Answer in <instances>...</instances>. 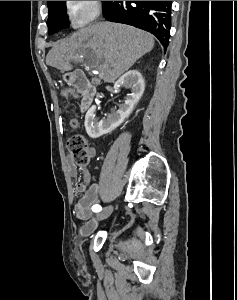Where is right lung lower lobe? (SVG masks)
I'll return each instance as SVG.
<instances>
[{
	"instance_id": "obj_1",
	"label": "right lung lower lobe",
	"mask_w": 237,
	"mask_h": 300,
	"mask_svg": "<svg viewBox=\"0 0 237 300\" xmlns=\"http://www.w3.org/2000/svg\"><path fill=\"white\" fill-rule=\"evenodd\" d=\"M172 1H104L103 15L154 34L164 49L168 47Z\"/></svg>"
}]
</instances>
